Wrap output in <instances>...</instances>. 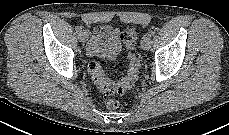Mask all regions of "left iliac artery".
<instances>
[{
	"instance_id": "44dca946",
	"label": "left iliac artery",
	"mask_w": 229,
	"mask_h": 135,
	"mask_svg": "<svg viewBox=\"0 0 229 135\" xmlns=\"http://www.w3.org/2000/svg\"><path fill=\"white\" fill-rule=\"evenodd\" d=\"M154 34H155V32L151 30V31H149L148 36L153 37Z\"/></svg>"
}]
</instances>
